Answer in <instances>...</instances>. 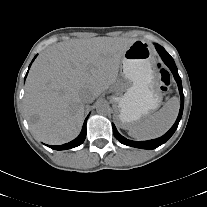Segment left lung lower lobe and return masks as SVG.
Returning a JSON list of instances; mask_svg holds the SVG:
<instances>
[{
  "label": "left lung lower lobe",
  "mask_w": 207,
  "mask_h": 207,
  "mask_svg": "<svg viewBox=\"0 0 207 207\" xmlns=\"http://www.w3.org/2000/svg\"><path fill=\"white\" fill-rule=\"evenodd\" d=\"M155 47H156L159 55L161 56L162 60L164 61V63L170 68V70L173 73L174 78L178 84V88H179V92H180V96H181V106H180V111H179L178 117L176 119V122L171 127V129L162 137L157 138V139H153V140L139 141V142L131 141V140L124 138L123 136H121L118 133L114 124H112L114 136L117 140L120 141V143L127 145V146H131V147L149 149V150L155 149V148L159 147L160 145L164 144L173 135V133L175 132V130L178 127L179 121L181 120L182 113H183V106H184V95H183V91H182L181 79L178 74V70L175 65V62H174L173 58L165 51V49L162 46L156 44Z\"/></svg>",
  "instance_id": "1"
}]
</instances>
